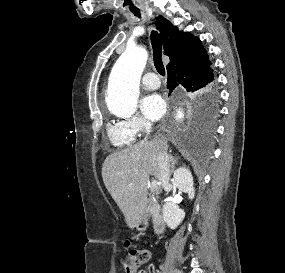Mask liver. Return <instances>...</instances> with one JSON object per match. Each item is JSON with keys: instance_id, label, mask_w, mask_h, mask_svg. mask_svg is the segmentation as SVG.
I'll return each instance as SVG.
<instances>
[{"instance_id": "6515ba94", "label": "liver", "mask_w": 285, "mask_h": 273, "mask_svg": "<svg viewBox=\"0 0 285 273\" xmlns=\"http://www.w3.org/2000/svg\"><path fill=\"white\" fill-rule=\"evenodd\" d=\"M160 149L167 150L163 139L142 141L110 154L102 165L105 187L130 228L136 226L143 214L149 175L159 176Z\"/></svg>"}]
</instances>
